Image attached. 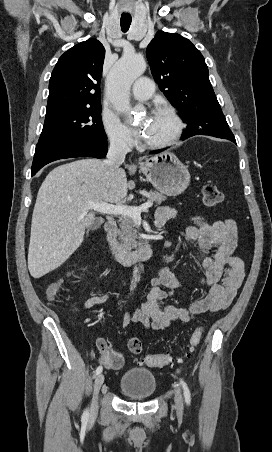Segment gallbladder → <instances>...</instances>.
I'll use <instances>...</instances> for the list:
<instances>
[{"label":"gallbladder","mask_w":272,"mask_h":452,"mask_svg":"<svg viewBox=\"0 0 272 452\" xmlns=\"http://www.w3.org/2000/svg\"><path fill=\"white\" fill-rule=\"evenodd\" d=\"M99 226H100V222L95 221V222L91 225V228H92V229H96V228H98Z\"/></svg>","instance_id":"gallbladder-1"}]
</instances>
